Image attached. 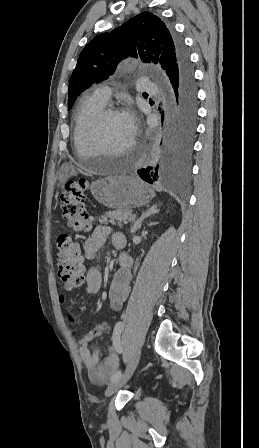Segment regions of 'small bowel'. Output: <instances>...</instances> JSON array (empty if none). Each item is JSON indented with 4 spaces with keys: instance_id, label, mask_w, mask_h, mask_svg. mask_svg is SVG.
I'll return each mask as SVG.
<instances>
[{
    "instance_id": "1",
    "label": "small bowel",
    "mask_w": 259,
    "mask_h": 448,
    "mask_svg": "<svg viewBox=\"0 0 259 448\" xmlns=\"http://www.w3.org/2000/svg\"><path fill=\"white\" fill-rule=\"evenodd\" d=\"M110 234L111 231L109 227H97L83 245L84 258L87 260H94ZM112 244L115 248L123 250L126 245L125 237L120 233L112 234ZM119 263L120 268L115 272L108 291L109 307L114 311L120 310L126 301L130 292L132 279L131 257L126 252L122 251L119 258ZM101 283L102 277L98 268L94 266L89 267L86 270V284L88 292L91 295L96 294L101 287ZM60 301L61 303H65V297L60 296ZM68 321L73 325L78 323L77 318L73 314L68 316ZM109 331L110 327L108 325L98 324L94 325L90 332L97 337ZM78 344L80 346V357L88 369V375L91 381L95 383H102L118 369L119 360L113 353L111 347L107 349L103 361L99 363L102 352L98 350L92 351L89 349L87 336L79 337Z\"/></svg>"
}]
</instances>
